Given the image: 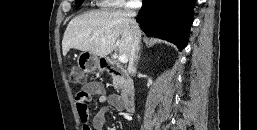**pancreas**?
<instances>
[{
    "label": "pancreas",
    "instance_id": "1",
    "mask_svg": "<svg viewBox=\"0 0 257 130\" xmlns=\"http://www.w3.org/2000/svg\"><path fill=\"white\" fill-rule=\"evenodd\" d=\"M113 84H114L116 87H121V85H122V79H121L120 77L114 76V77H113Z\"/></svg>",
    "mask_w": 257,
    "mask_h": 130
}]
</instances>
